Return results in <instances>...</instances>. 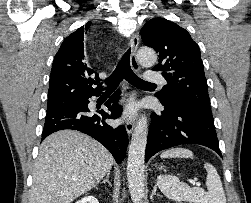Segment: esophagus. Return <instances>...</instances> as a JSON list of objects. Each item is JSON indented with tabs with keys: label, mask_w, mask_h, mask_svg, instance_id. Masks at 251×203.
<instances>
[{
	"label": "esophagus",
	"mask_w": 251,
	"mask_h": 203,
	"mask_svg": "<svg viewBox=\"0 0 251 203\" xmlns=\"http://www.w3.org/2000/svg\"><path fill=\"white\" fill-rule=\"evenodd\" d=\"M129 45L131 47V59H130L131 66L136 72H138L140 70V66L137 61V56H136V52H137L138 45H139V35L138 34H134L131 37ZM125 127H126L127 133L131 134L134 130V127H135V119L134 118L127 119L125 122Z\"/></svg>",
	"instance_id": "esophagus-1"
}]
</instances>
